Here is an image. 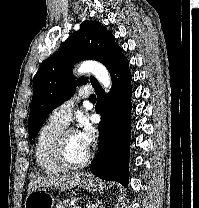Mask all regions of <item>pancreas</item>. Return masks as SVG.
<instances>
[{"instance_id":"1","label":"pancreas","mask_w":199,"mask_h":208,"mask_svg":"<svg viewBox=\"0 0 199 208\" xmlns=\"http://www.w3.org/2000/svg\"><path fill=\"white\" fill-rule=\"evenodd\" d=\"M70 201L69 199L59 203L58 205H56V208H70L71 207V204H70Z\"/></svg>"}]
</instances>
